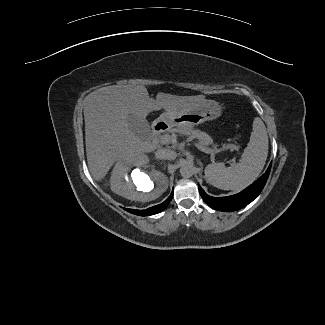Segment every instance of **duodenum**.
<instances>
[{
	"label": "duodenum",
	"instance_id": "obj_1",
	"mask_svg": "<svg viewBox=\"0 0 325 325\" xmlns=\"http://www.w3.org/2000/svg\"><path fill=\"white\" fill-rule=\"evenodd\" d=\"M166 128H167L166 123H164V122H156L152 126V135L154 137H157L160 134H162L165 131Z\"/></svg>",
	"mask_w": 325,
	"mask_h": 325
}]
</instances>
